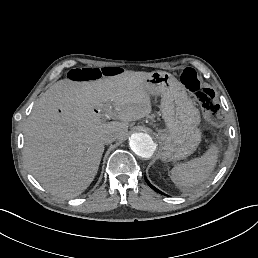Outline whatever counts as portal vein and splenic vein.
Listing matches in <instances>:
<instances>
[{
    "instance_id": "obj_1",
    "label": "portal vein and splenic vein",
    "mask_w": 258,
    "mask_h": 258,
    "mask_svg": "<svg viewBox=\"0 0 258 258\" xmlns=\"http://www.w3.org/2000/svg\"><path fill=\"white\" fill-rule=\"evenodd\" d=\"M104 107H105L104 111H105L106 118H111L109 113H113V117L117 116V113L115 111H112L111 107H106L105 105Z\"/></svg>"
}]
</instances>
